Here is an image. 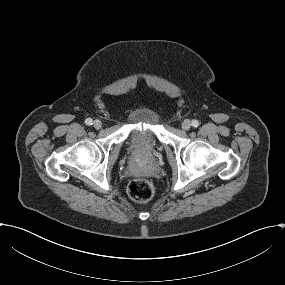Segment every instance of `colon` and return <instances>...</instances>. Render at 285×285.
Here are the masks:
<instances>
[{
	"instance_id": "1",
	"label": "colon",
	"mask_w": 285,
	"mask_h": 285,
	"mask_svg": "<svg viewBox=\"0 0 285 285\" xmlns=\"http://www.w3.org/2000/svg\"><path fill=\"white\" fill-rule=\"evenodd\" d=\"M128 196L137 203H146L154 195L152 183L146 179L132 180L127 187Z\"/></svg>"
}]
</instances>
